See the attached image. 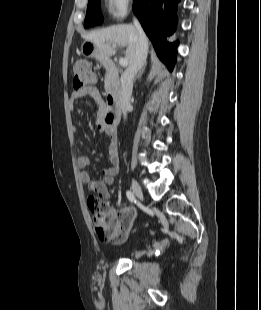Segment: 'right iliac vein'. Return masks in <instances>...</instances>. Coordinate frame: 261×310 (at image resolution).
Returning <instances> with one entry per match:
<instances>
[{
    "label": "right iliac vein",
    "mask_w": 261,
    "mask_h": 310,
    "mask_svg": "<svg viewBox=\"0 0 261 310\" xmlns=\"http://www.w3.org/2000/svg\"><path fill=\"white\" fill-rule=\"evenodd\" d=\"M132 190L135 194V196L139 199V201H143V192L142 189L140 187V185L138 184V182L136 180H132Z\"/></svg>",
    "instance_id": "1"
}]
</instances>
